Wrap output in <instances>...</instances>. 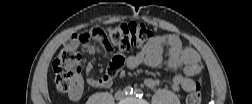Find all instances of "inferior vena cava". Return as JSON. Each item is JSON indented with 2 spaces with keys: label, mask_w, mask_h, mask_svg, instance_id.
<instances>
[{
  "label": "inferior vena cava",
  "mask_w": 252,
  "mask_h": 104,
  "mask_svg": "<svg viewBox=\"0 0 252 104\" xmlns=\"http://www.w3.org/2000/svg\"><path fill=\"white\" fill-rule=\"evenodd\" d=\"M125 97V93L123 92V91H117L116 93H115V98L117 99V100H122L123 98Z\"/></svg>",
  "instance_id": "1"
}]
</instances>
